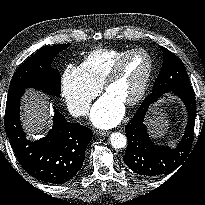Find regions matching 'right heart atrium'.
<instances>
[{
  "label": "right heart atrium",
  "mask_w": 205,
  "mask_h": 205,
  "mask_svg": "<svg viewBox=\"0 0 205 205\" xmlns=\"http://www.w3.org/2000/svg\"><path fill=\"white\" fill-rule=\"evenodd\" d=\"M100 86L93 84L80 66L68 65L61 78V93L69 112L76 117L85 116Z\"/></svg>",
  "instance_id": "d8ad5b80"
}]
</instances>
